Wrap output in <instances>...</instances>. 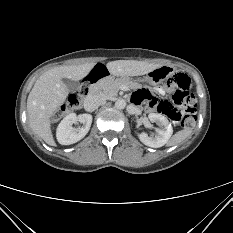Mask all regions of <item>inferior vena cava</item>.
Returning a JSON list of instances; mask_svg holds the SVG:
<instances>
[{
	"mask_svg": "<svg viewBox=\"0 0 233 233\" xmlns=\"http://www.w3.org/2000/svg\"><path fill=\"white\" fill-rule=\"evenodd\" d=\"M106 102V97L102 94H89L84 100V107L88 110H95Z\"/></svg>",
	"mask_w": 233,
	"mask_h": 233,
	"instance_id": "602c4592",
	"label": "inferior vena cava"
}]
</instances>
